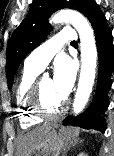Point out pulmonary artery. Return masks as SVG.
Masks as SVG:
<instances>
[{
    "label": "pulmonary artery",
    "mask_w": 114,
    "mask_h": 156,
    "mask_svg": "<svg viewBox=\"0 0 114 156\" xmlns=\"http://www.w3.org/2000/svg\"><path fill=\"white\" fill-rule=\"evenodd\" d=\"M77 34L72 28H65L36 48L25 60V64L40 69L46 67L52 57L66 42L76 41Z\"/></svg>",
    "instance_id": "e3ab8cb5"
}]
</instances>
